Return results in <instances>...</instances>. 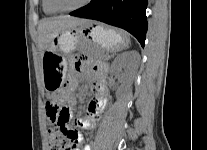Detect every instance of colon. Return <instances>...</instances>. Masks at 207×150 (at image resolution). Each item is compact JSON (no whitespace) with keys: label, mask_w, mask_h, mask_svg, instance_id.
I'll list each match as a JSON object with an SVG mask.
<instances>
[{"label":"colon","mask_w":207,"mask_h":150,"mask_svg":"<svg viewBox=\"0 0 207 150\" xmlns=\"http://www.w3.org/2000/svg\"><path fill=\"white\" fill-rule=\"evenodd\" d=\"M60 97L53 96L46 102V111L50 120L47 135L51 150H77L78 133L68 127L70 113Z\"/></svg>","instance_id":"1"}]
</instances>
